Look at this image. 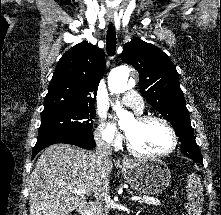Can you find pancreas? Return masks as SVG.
Listing matches in <instances>:
<instances>
[{"instance_id": "pancreas-1", "label": "pancreas", "mask_w": 221, "mask_h": 215, "mask_svg": "<svg viewBox=\"0 0 221 215\" xmlns=\"http://www.w3.org/2000/svg\"><path fill=\"white\" fill-rule=\"evenodd\" d=\"M140 204H147V205H153V206H160L161 201L157 198L150 197V196H143L142 198L139 199L138 201Z\"/></svg>"}]
</instances>
